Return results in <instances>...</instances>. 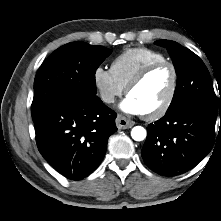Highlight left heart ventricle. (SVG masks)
<instances>
[{
    "label": "left heart ventricle",
    "instance_id": "b2bd125f",
    "mask_svg": "<svg viewBox=\"0 0 221 221\" xmlns=\"http://www.w3.org/2000/svg\"><path fill=\"white\" fill-rule=\"evenodd\" d=\"M172 72L167 66H162L151 72L129 96L141 106L143 113L158 108L165 100L171 86Z\"/></svg>",
    "mask_w": 221,
    "mask_h": 221
}]
</instances>
